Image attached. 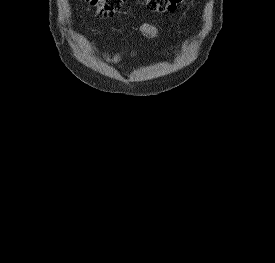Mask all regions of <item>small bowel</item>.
I'll use <instances>...</instances> for the list:
<instances>
[{
  "mask_svg": "<svg viewBox=\"0 0 275 263\" xmlns=\"http://www.w3.org/2000/svg\"><path fill=\"white\" fill-rule=\"evenodd\" d=\"M142 33L148 37L156 36L157 29L153 24L142 23L139 26ZM103 59L109 64H118L122 59V53L110 54L107 50L103 52Z\"/></svg>",
  "mask_w": 275,
  "mask_h": 263,
  "instance_id": "c3829d8e",
  "label": "small bowel"
}]
</instances>
